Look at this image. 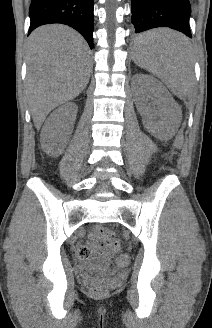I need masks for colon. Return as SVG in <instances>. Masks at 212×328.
<instances>
[{
	"instance_id": "obj_1",
	"label": "colon",
	"mask_w": 212,
	"mask_h": 328,
	"mask_svg": "<svg viewBox=\"0 0 212 328\" xmlns=\"http://www.w3.org/2000/svg\"><path fill=\"white\" fill-rule=\"evenodd\" d=\"M99 233L102 236V238L106 241L109 247H111L114 250H118L120 248L121 246L120 242L112 231L107 229H100ZM79 255L82 258L87 257V254L83 251H81ZM117 263L118 265L121 266L126 265L128 263V257L126 255H120L117 258ZM105 289H106L105 286L101 283H96L92 286V291L97 295L103 294L105 292Z\"/></svg>"
}]
</instances>
